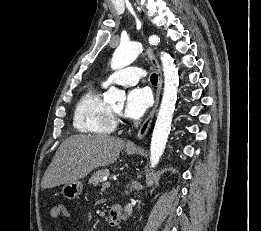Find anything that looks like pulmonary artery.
I'll list each match as a JSON object with an SVG mask.
<instances>
[{"instance_id": "obj_1", "label": "pulmonary artery", "mask_w": 261, "mask_h": 231, "mask_svg": "<svg viewBox=\"0 0 261 231\" xmlns=\"http://www.w3.org/2000/svg\"><path fill=\"white\" fill-rule=\"evenodd\" d=\"M142 73L138 67H125L112 73L104 82V85L118 83L123 86L134 85L141 79Z\"/></svg>"}]
</instances>
